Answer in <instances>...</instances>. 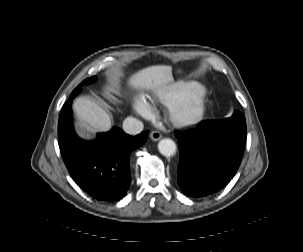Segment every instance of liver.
<instances>
[{
	"instance_id": "1",
	"label": "liver",
	"mask_w": 303,
	"mask_h": 252,
	"mask_svg": "<svg viewBox=\"0 0 303 252\" xmlns=\"http://www.w3.org/2000/svg\"><path fill=\"white\" fill-rule=\"evenodd\" d=\"M172 81V68L165 65L147 67L133 74L129 84L135 89L159 91ZM74 110L83 124L96 131H108L111 128L109 114L97 102L79 97L74 103Z\"/></svg>"
}]
</instances>
